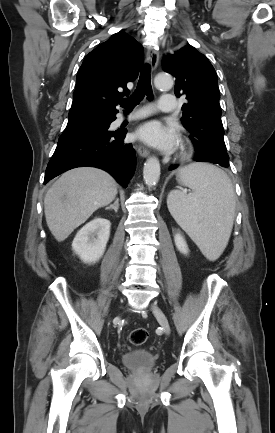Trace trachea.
Instances as JSON below:
<instances>
[{
  "label": "trachea",
  "mask_w": 275,
  "mask_h": 433,
  "mask_svg": "<svg viewBox=\"0 0 275 433\" xmlns=\"http://www.w3.org/2000/svg\"><path fill=\"white\" fill-rule=\"evenodd\" d=\"M150 66L146 64L140 73V79L137 84V88L133 95L128 99L121 101V106L127 110H132L146 95L148 99L153 98L152 86H151V75Z\"/></svg>",
  "instance_id": "1"
}]
</instances>
